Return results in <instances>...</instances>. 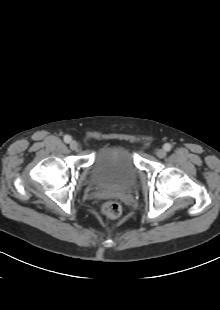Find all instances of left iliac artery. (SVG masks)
I'll use <instances>...</instances> for the list:
<instances>
[{
  "label": "left iliac artery",
  "instance_id": "obj_1",
  "mask_svg": "<svg viewBox=\"0 0 220 310\" xmlns=\"http://www.w3.org/2000/svg\"><path fill=\"white\" fill-rule=\"evenodd\" d=\"M163 148H164L166 151H170V150L172 149V146H171V144L166 143V144H164Z\"/></svg>",
  "mask_w": 220,
  "mask_h": 310
}]
</instances>
